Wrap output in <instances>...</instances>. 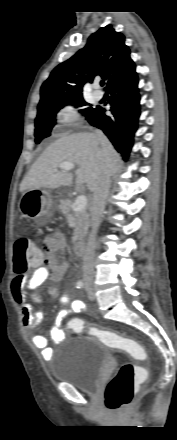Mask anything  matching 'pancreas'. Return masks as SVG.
<instances>
[{
    "mask_svg": "<svg viewBox=\"0 0 177 440\" xmlns=\"http://www.w3.org/2000/svg\"><path fill=\"white\" fill-rule=\"evenodd\" d=\"M58 207L68 222L74 227L72 242L83 239L89 228L88 212L86 210L74 211L73 202L69 199L61 200Z\"/></svg>",
    "mask_w": 177,
    "mask_h": 440,
    "instance_id": "cf45deb5",
    "label": "pancreas"
}]
</instances>
